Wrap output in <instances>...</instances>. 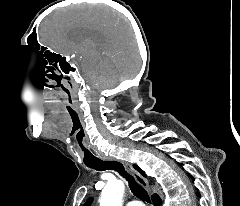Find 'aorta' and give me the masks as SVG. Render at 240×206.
I'll return each instance as SVG.
<instances>
[{
  "label": "aorta",
  "instance_id": "aorta-1",
  "mask_svg": "<svg viewBox=\"0 0 240 206\" xmlns=\"http://www.w3.org/2000/svg\"><path fill=\"white\" fill-rule=\"evenodd\" d=\"M125 185L121 180L109 181L102 190L100 206H122Z\"/></svg>",
  "mask_w": 240,
  "mask_h": 206
}]
</instances>
